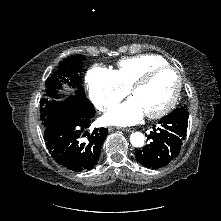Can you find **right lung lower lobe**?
<instances>
[{
    "mask_svg": "<svg viewBox=\"0 0 221 221\" xmlns=\"http://www.w3.org/2000/svg\"><path fill=\"white\" fill-rule=\"evenodd\" d=\"M94 116V108L87 111L69 110L50 116L42 123L49 152L69 170H90L99 159L108 130L95 128L92 133L86 132Z\"/></svg>",
    "mask_w": 221,
    "mask_h": 221,
    "instance_id": "1",
    "label": "right lung lower lobe"
}]
</instances>
